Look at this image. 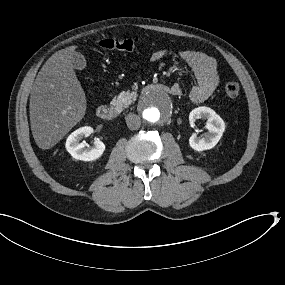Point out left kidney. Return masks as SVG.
Wrapping results in <instances>:
<instances>
[{"label":"left kidney","mask_w":285,"mask_h":285,"mask_svg":"<svg viewBox=\"0 0 285 285\" xmlns=\"http://www.w3.org/2000/svg\"><path fill=\"white\" fill-rule=\"evenodd\" d=\"M197 119H207L206 129L208 133L205 137H198L193 133L189 138L190 146L196 151H203L213 148L223 135L225 123L223 119L209 107H198L189 114V121L195 122Z\"/></svg>","instance_id":"5707ae66"}]
</instances>
